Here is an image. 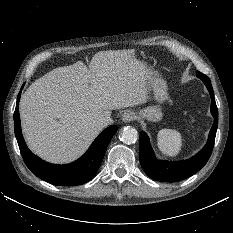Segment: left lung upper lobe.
I'll return each instance as SVG.
<instances>
[{
	"mask_svg": "<svg viewBox=\"0 0 233 233\" xmlns=\"http://www.w3.org/2000/svg\"><path fill=\"white\" fill-rule=\"evenodd\" d=\"M198 75H202V73H201V72H199V71H197V76H198Z\"/></svg>",
	"mask_w": 233,
	"mask_h": 233,
	"instance_id": "obj_1",
	"label": "left lung upper lobe"
}]
</instances>
